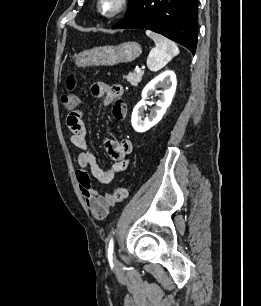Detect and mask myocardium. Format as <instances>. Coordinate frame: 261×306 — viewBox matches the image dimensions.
Returning a JSON list of instances; mask_svg holds the SVG:
<instances>
[{"instance_id": "f54148a6", "label": "myocardium", "mask_w": 261, "mask_h": 306, "mask_svg": "<svg viewBox=\"0 0 261 306\" xmlns=\"http://www.w3.org/2000/svg\"><path fill=\"white\" fill-rule=\"evenodd\" d=\"M103 2L104 0L96 1V9L98 13L105 18H114L127 9L130 0H115V7L111 11H105L103 9Z\"/></svg>"}]
</instances>
